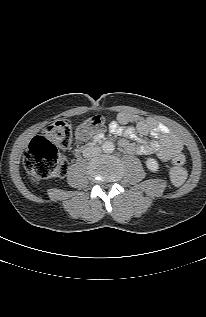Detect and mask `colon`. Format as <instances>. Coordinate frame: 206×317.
Returning a JSON list of instances; mask_svg holds the SVG:
<instances>
[{"instance_id":"5ec220e1","label":"colon","mask_w":206,"mask_h":317,"mask_svg":"<svg viewBox=\"0 0 206 317\" xmlns=\"http://www.w3.org/2000/svg\"><path fill=\"white\" fill-rule=\"evenodd\" d=\"M105 128V118L95 115L84 121L77 130L79 138H88L102 132ZM72 129L68 121H57L30 142L24 157L26 169L44 179H59L66 174L68 163L58 147L67 148L72 143ZM185 157L176 155L172 160L171 180L175 185H181L187 177L183 167Z\"/></svg>"}]
</instances>
